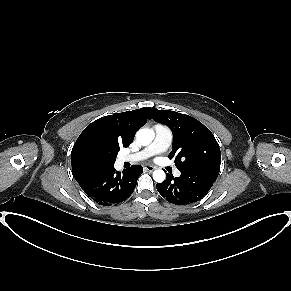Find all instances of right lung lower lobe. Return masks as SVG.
Instances as JSON below:
<instances>
[{
	"label": "right lung lower lobe",
	"mask_w": 291,
	"mask_h": 291,
	"mask_svg": "<svg viewBox=\"0 0 291 291\" xmlns=\"http://www.w3.org/2000/svg\"><path fill=\"white\" fill-rule=\"evenodd\" d=\"M142 172L143 168L140 165H133L123 170L122 174L115 172L112 167L84 179L79 185L96 203L104 206L116 205L133 193Z\"/></svg>",
	"instance_id": "98d812e1"
}]
</instances>
